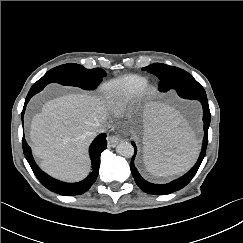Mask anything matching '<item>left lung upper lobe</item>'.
I'll use <instances>...</instances> for the list:
<instances>
[{
	"label": "left lung upper lobe",
	"mask_w": 243,
	"mask_h": 243,
	"mask_svg": "<svg viewBox=\"0 0 243 243\" xmlns=\"http://www.w3.org/2000/svg\"><path fill=\"white\" fill-rule=\"evenodd\" d=\"M143 70L148 71L159 78V90L161 92H167L170 89L178 91L180 89L199 85L188 72L177 67L154 63L144 67Z\"/></svg>",
	"instance_id": "left-lung-upper-lobe-1"
}]
</instances>
